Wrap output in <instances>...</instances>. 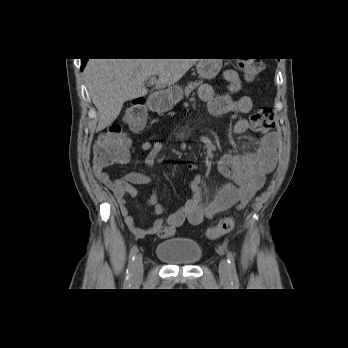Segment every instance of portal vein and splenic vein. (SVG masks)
I'll return each mask as SVG.
<instances>
[{"mask_svg":"<svg viewBox=\"0 0 348 348\" xmlns=\"http://www.w3.org/2000/svg\"><path fill=\"white\" fill-rule=\"evenodd\" d=\"M156 78L155 77H152V78H150L149 79V82H148V84L150 85V86H153L155 83H156Z\"/></svg>","mask_w":348,"mask_h":348,"instance_id":"18ae733b","label":"portal vein and splenic vein"}]
</instances>
